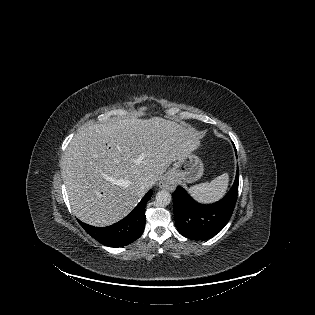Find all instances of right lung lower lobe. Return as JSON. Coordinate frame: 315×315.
Returning a JSON list of instances; mask_svg holds the SVG:
<instances>
[{"label": "right lung lower lobe", "instance_id": "obj_1", "mask_svg": "<svg viewBox=\"0 0 315 315\" xmlns=\"http://www.w3.org/2000/svg\"><path fill=\"white\" fill-rule=\"evenodd\" d=\"M153 191L143 197L134 210L119 222L107 227H94L79 221L84 230L98 242L109 247H121L138 239L145 228V205Z\"/></svg>", "mask_w": 315, "mask_h": 315}]
</instances>
